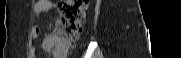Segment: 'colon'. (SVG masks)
Segmentation results:
<instances>
[{
	"label": "colon",
	"instance_id": "obj_1",
	"mask_svg": "<svg viewBox=\"0 0 181 58\" xmlns=\"http://www.w3.org/2000/svg\"><path fill=\"white\" fill-rule=\"evenodd\" d=\"M88 0H66L59 3L58 28L48 39V49L65 57L79 40Z\"/></svg>",
	"mask_w": 181,
	"mask_h": 58
}]
</instances>
